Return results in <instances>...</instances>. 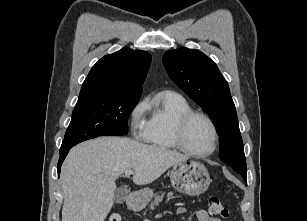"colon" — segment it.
I'll use <instances>...</instances> for the list:
<instances>
[{
	"mask_svg": "<svg viewBox=\"0 0 307 221\" xmlns=\"http://www.w3.org/2000/svg\"><path fill=\"white\" fill-rule=\"evenodd\" d=\"M208 208L212 215L220 216L223 218H226L229 215L227 207L216 196H210L208 198ZM107 221H121V218L118 215H112L108 218Z\"/></svg>",
	"mask_w": 307,
	"mask_h": 221,
	"instance_id": "5ec220e1",
	"label": "colon"
}]
</instances>
